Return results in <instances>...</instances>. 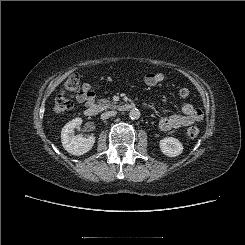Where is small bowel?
Listing matches in <instances>:
<instances>
[{
  "instance_id": "obj_1",
  "label": "small bowel",
  "mask_w": 245,
  "mask_h": 245,
  "mask_svg": "<svg viewBox=\"0 0 245 245\" xmlns=\"http://www.w3.org/2000/svg\"><path fill=\"white\" fill-rule=\"evenodd\" d=\"M164 81V75L161 72H150L145 75L144 82L148 86H156ZM95 94L90 83H84L82 91L77 95L76 100L79 103L90 104L94 101ZM203 112L190 103L182 106V115L173 114L161 118L159 127L162 131H169L180 127L189 126L202 120Z\"/></svg>"
}]
</instances>
